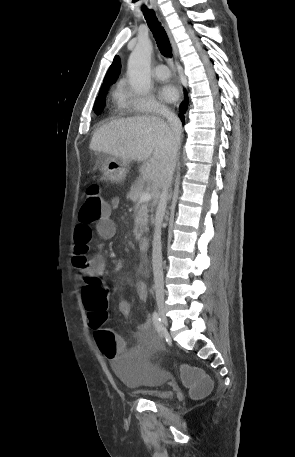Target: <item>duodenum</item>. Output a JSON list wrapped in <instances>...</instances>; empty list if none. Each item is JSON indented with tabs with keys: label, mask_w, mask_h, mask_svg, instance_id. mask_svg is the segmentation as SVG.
<instances>
[{
	"label": "duodenum",
	"mask_w": 295,
	"mask_h": 457,
	"mask_svg": "<svg viewBox=\"0 0 295 457\" xmlns=\"http://www.w3.org/2000/svg\"><path fill=\"white\" fill-rule=\"evenodd\" d=\"M149 245H150V240L149 238L147 237H142L139 241V247H140V250L143 252V253H146L149 249Z\"/></svg>",
	"instance_id": "duodenum-1"
}]
</instances>
